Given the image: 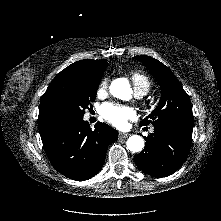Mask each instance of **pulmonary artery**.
Instances as JSON below:
<instances>
[{
	"label": "pulmonary artery",
	"mask_w": 221,
	"mask_h": 221,
	"mask_svg": "<svg viewBox=\"0 0 221 221\" xmlns=\"http://www.w3.org/2000/svg\"><path fill=\"white\" fill-rule=\"evenodd\" d=\"M136 96H137V97H141V96H143V94L136 93Z\"/></svg>",
	"instance_id": "e3ab8cb5"
}]
</instances>
